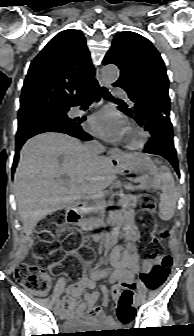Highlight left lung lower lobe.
Wrapping results in <instances>:
<instances>
[{"mask_svg":"<svg viewBox=\"0 0 194 336\" xmlns=\"http://www.w3.org/2000/svg\"><path fill=\"white\" fill-rule=\"evenodd\" d=\"M150 131L152 138L144 146V152L160 155L167 159L179 174L176 150L173 142V129L169 116H162L144 125Z\"/></svg>","mask_w":194,"mask_h":336,"instance_id":"obj_1","label":"left lung lower lobe"}]
</instances>
